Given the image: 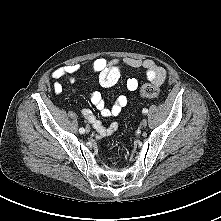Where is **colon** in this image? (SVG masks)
<instances>
[{"instance_id": "colon-1", "label": "colon", "mask_w": 221, "mask_h": 221, "mask_svg": "<svg viewBox=\"0 0 221 221\" xmlns=\"http://www.w3.org/2000/svg\"><path fill=\"white\" fill-rule=\"evenodd\" d=\"M140 94L145 98H156L159 95V88L154 84H145L141 87Z\"/></svg>"}]
</instances>
